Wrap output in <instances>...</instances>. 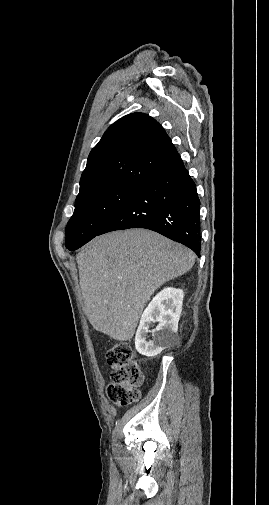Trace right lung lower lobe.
I'll return each mask as SVG.
<instances>
[{
	"label": "right lung lower lobe",
	"mask_w": 269,
	"mask_h": 505,
	"mask_svg": "<svg viewBox=\"0 0 269 505\" xmlns=\"http://www.w3.org/2000/svg\"><path fill=\"white\" fill-rule=\"evenodd\" d=\"M199 212L195 183L179 159L141 185L98 235L146 228L186 245L199 256Z\"/></svg>",
	"instance_id": "right-lung-lower-lobe-1"
}]
</instances>
